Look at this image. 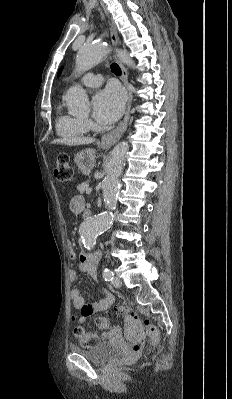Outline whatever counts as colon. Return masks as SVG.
I'll return each instance as SVG.
<instances>
[{
	"mask_svg": "<svg viewBox=\"0 0 232 399\" xmlns=\"http://www.w3.org/2000/svg\"><path fill=\"white\" fill-rule=\"evenodd\" d=\"M53 165H56V172H61L57 174V179L63 180V185H68V180H73V164L70 163V158L65 156H57L56 160H53ZM126 321H124L123 326L127 328L126 335L130 337V340H122L121 342V353H143V341H145L144 326H142V321L140 317H136L135 313H126ZM97 324L102 322L100 317L95 319ZM147 328H154V321H147ZM75 334H79V347H98V342H95V332L91 331L86 333L80 329H75Z\"/></svg>",
	"mask_w": 232,
	"mask_h": 399,
	"instance_id": "obj_1",
	"label": "colon"
}]
</instances>
